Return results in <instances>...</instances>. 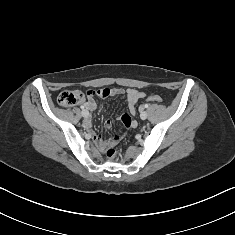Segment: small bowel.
<instances>
[{"instance_id": "obj_1", "label": "small bowel", "mask_w": 235, "mask_h": 235, "mask_svg": "<svg viewBox=\"0 0 235 235\" xmlns=\"http://www.w3.org/2000/svg\"><path fill=\"white\" fill-rule=\"evenodd\" d=\"M121 94H125V97L128 103L129 112L132 115H134L136 113L137 102L140 99L145 97V94L143 92H140L136 89H127L126 91H124L120 88H111V89H106V94L104 95L99 94L98 96L107 97V96H115V95H121ZM83 106L89 111H93L96 108V102L93 96L88 97V100L84 102ZM111 125H112L111 120L110 119L106 120L105 127L108 129L111 127ZM83 126L97 143L101 145L104 144L105 140L103 139V137L101 135H95L93 133V130L91 128V121L89 119L83 122Z\"/></svg>"}]
</instances>
